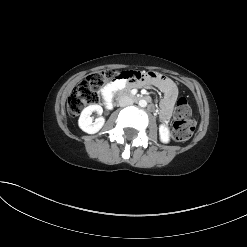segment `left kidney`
Returning <instances> with one entry per match:
<instances>
[{
    "instance_id": "5707ae66",
    "label": "left kidney",
    "mask_w": 247,
    "mask_h": 247,
    "mask_svg": "<svg viewBox=\"0 0 247 247\" xmlns=\"http://www.w3.org/2000/svg\"><path fill=\"white\" fill-rule=\"evenodd\" d=\"M159 135H160V140L163 143H168L170 140V131L169 128L163 124L159 126Z\"/></svg>"
}]
</instances>
